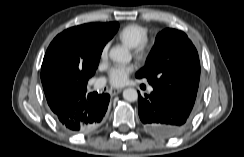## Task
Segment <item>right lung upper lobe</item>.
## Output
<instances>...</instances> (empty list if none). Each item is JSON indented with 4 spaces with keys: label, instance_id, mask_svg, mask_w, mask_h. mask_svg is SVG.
I'll list each match as a JSON object with an SVG mask.
<instances>
[{
    "label": "right lung upper lobe",
    "instance_id": "obj_1",
    "mask_svg": "<svg viewBox=\"0 0 244 157\" xmlns=\"http://www.w3.org/2000/svg\"><path fill=\"white\" fill-rule=\"evenodd\" d=\"M118 28L117 22L89 23L57 35L49 45L41 67L45 96L86 89L105 44ZM71 35L74 38H68Z\"/></svg>",
    "mask_w": 244,
    "mask_h": 157
}]
</instances>
